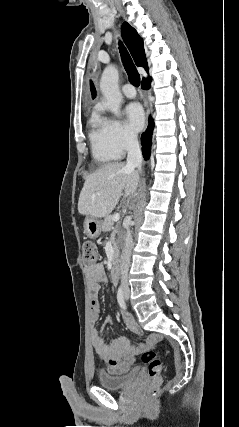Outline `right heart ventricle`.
<instances>
[{
    "label": "right heart ventricle",
    "mask_w": 239,
    "mask_h": 427,
    "mask_svg": "<svg viewBox=\"0 0 239 427\" xmlns=\"http://www.w3.org/2000/svg\"><path fill=\"white\" fill-rule=\"evenodd\" d=\"M89 138L91 142L92 155L97 162L107 163L119 158L108 142L103 126V120L96 114L92 116L90 121Z\"/></svg>",
    "instance_id": "1"
}]
</instances>
